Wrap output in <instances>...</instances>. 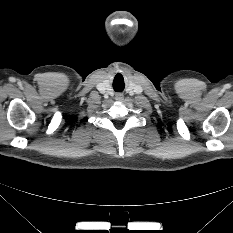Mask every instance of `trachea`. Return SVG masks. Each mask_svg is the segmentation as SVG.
Listing matches in <instances>:
<instances>
[{
    "label": "trachea",
    "mask_w": 233,
    "mask_h": 233,
    "mask_svg": "<svg viewBox=\"0 0 233 233\" xmlns=\"http://www.w3.org/2000/svg\"><path fill=\"white\" fill-rule=\"evenodd\" d=\"M116 91H122L123 90V88H120V89H115Z\"/></svg>",
    "instance_id": "obj_1"
}]
</instances>
